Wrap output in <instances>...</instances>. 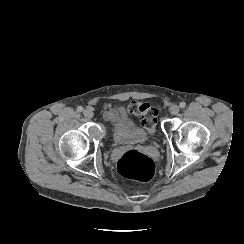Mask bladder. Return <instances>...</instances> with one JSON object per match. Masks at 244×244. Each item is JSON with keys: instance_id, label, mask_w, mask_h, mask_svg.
Listing matches in <instances>:
<instances>
[{"instance_id": "bladder-1", "label": "bladder", "mask_w": 244, "mask_h": 244, "mask_svg": "<svg viewBox=\"0 0 244 244\" xmlns=\"http://www.w3.org/2000/svg\"><path fill=\"white\" fill-rule=\"evenodd\" d=\"M112 140L115 145L126 144H144L145 140L150 138L141 124H137L130 129L124 130L121 127H116L112 132Z\"/></svg>"}]
</instances>
